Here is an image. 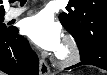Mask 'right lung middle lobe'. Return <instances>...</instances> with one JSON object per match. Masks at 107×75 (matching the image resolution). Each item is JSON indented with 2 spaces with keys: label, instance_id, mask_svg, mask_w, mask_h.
Instances as JSON below:
<instances>
[{
  "label": "right lung middle lobe",
  "instance_id": "right-lung-middle-lobe-1",
  "mask_svg": "<svg viewBox=\"0 0 107 75\" xmlns=\"http://www.w3.org/2000/svg\"><path fill=\"white\" fill-rule=\"evenodd\" d=\"M4 14H0V35L7 34L12 28H7L6 25L3 23Z\"/></svg>",
  "mask_w": 107,
  "mask_h": 75
}]
</instances>
